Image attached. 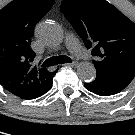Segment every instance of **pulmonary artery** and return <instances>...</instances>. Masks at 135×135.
<instances>
[{"mask_svg": "<svg viewBox=\"0 0 135 135\" xmlns=\"http://www.w3.org/2000/svg\"><path fill=\"white\" fill-rule=\"evenodd\" d=\"M66 44H67V47L69 48V50L77 57H80L83 59L90 58V55L84 51L79 40L77 39V37L74 34H72V33L67 34Z\"/></svg>", "mask_w": 135, "mask_h": 135, "instance_id": "e3ab8cb5", "label": "pulmonary artery"}]
</instances>
